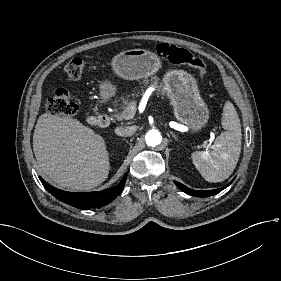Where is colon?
I'll return each mask as SVG.
<instances>
[{"label":"colon","instance_id":"5ec220e1","mask_svg":"<svg viewBox=\"0 0 281 281\" xmlns=\"http://www.w3.org/2000/svg\"><path fill=\"white\" fill-rule=\"evenodd\" d=\"M158 56L168 60L171 63L188 64L198 70L202 75L206 74V65L200 58L192 55L186 49L179 48L167 43H159L151 47ZM86 61L82 57H75L66 65L64 72L68 79H80L85 70ZM48 113L54 116H74L77 112V105L68 91L56 92L47 102Z\"/></svg>","mask_w":281,"mask_h":281}]
</instances>
